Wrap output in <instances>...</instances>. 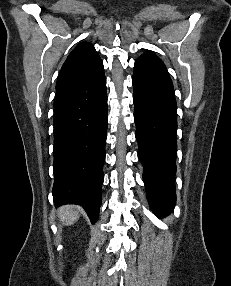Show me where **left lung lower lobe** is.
Listing matches in <instances>:
<instances>
[{
	"label": "left lung lower lobe",
	"instance_id": "left-lung-lower-lobe-1",
	"mask_svg": "<svg viewBox=\"0 0 231 286\" xmlns=\"http://www.w3.org/2000/svg\"><path fill=\"white\" fill-rule=\"evenodd\" d=\"M134 120L138 157L151 208L159 215L175 205L177 104L163 63L138 58L133 73Z\"/></svg>",
	"mask_w": 231,
	"mask_h": 286
}]
</instances>
